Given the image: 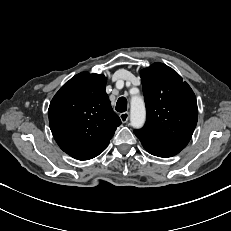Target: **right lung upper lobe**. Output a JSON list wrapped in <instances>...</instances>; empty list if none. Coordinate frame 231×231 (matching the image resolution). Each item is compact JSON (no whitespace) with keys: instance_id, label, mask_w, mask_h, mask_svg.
<instances>
[{"instance_id":"obj_1","label":"right lung upper lobe","mask_w":231,"mask_h":231,"mask_svg":"<svg viewBox=\"0 0 231 231\" xmlns=\"http://www.w3.org/2000/svg\"><path fill=\"white\" fill-rule=\"evenodd\" d=\"M102 74L79 73L53 97L49 125L59 147L77 160L102 153L121 124L105 92Z\"/></svg>"}]
</instances>
